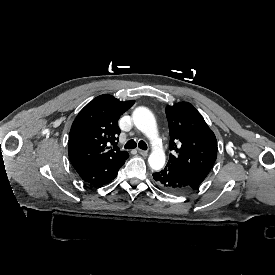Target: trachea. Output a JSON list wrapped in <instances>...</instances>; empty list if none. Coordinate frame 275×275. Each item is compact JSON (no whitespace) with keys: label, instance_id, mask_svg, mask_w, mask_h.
<instances>
[{"label":"trachea","instance_id":"3493384b","mask_svg":"<svg viewBox=\"0 0 275 275\" xmlns=\"http://www.w3.org/2000/svg\"><path fill=\"white\" fill-rule=\"evenodd\" d=\"M136 146H137V143L134 141V140H129L126 144H125V146H124V148L125 149H134V148H136ZM138 147L140 148V149H143V150H146L147 149V144L144 142V141H139V143H138Z\"/></svg>","mask_w":275,"mask_h":275}]
</instances>
